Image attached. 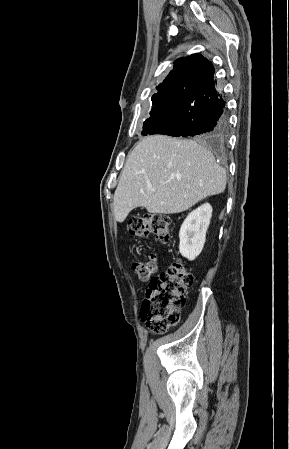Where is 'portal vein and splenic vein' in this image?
I'll return each instance as SVG.
<instances>
[{"instance_id": "18ae733b", "label": "portal vein and splenic vein", "mask_w": 289, "mask_h": 449, "mask_svg": "<svg viewBox=\"0 0 289 449\" xmlns=\"http://www.w3.org/2000/svg\"><path fill=\"white\" fill-rule=\"evenodd\" d=\"M150 190H151V191H154V189H153L152 187H150Z\"/></svg>"}]
</instances>
